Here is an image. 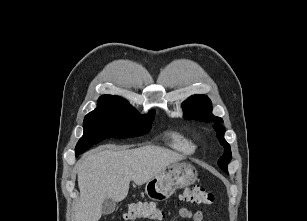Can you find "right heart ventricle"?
<instances>
[{"instance_id":"obj_1","label":"right heart ventricle","mask_w":307,"mask_h":221,"mask_svg":"<svg viewBox=\"0 0 307 221\" xmlns=\"http://www.w3.org/2000/svg\"><path fill=\"white\" fill-rule=\"evenodd\" d=\"M171 146L184 153L192 154L195 152L196 145L185 135L179 132H172L170 134Z\"/></svg>"}]
</instances>
